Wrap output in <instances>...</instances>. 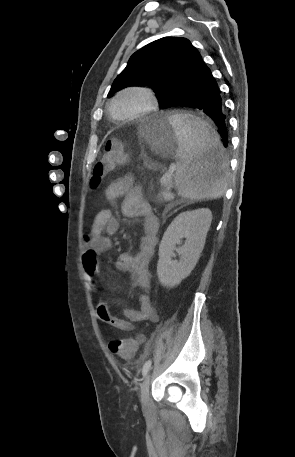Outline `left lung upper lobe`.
Returning a JSON list of instances; mask_svg holds the SVG:
<instances>
[{"mask_svg":"<svg viewBox=\"0 0 295 457\" xmlns=\"http://www.w3.org/2000/svg\"><path fill=\"white\" fill-rule=\"evenodd\" d=\"M199 51L186 38L164 37L136 51L116 77L108 96L129 86L154 90L163 106L187 88L189 72Z\"/></svg>","mask_w":295,"mask_h":457,"instance_id":"1","label":"left lung upper lobe"}]
</instances>
